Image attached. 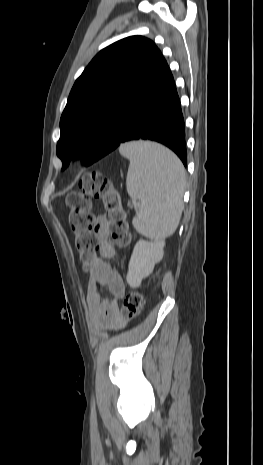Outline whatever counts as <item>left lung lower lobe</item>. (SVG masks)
I'll return each mask as SVG.
<instances>
[{
	"label": "left lung lower lobe",
	"instance_id": "left-lung-lower-lobe-1",
	"mask_svg": "<svg viewBox=\"0 0 263 465\" xmlns=\"http://www.w3.org/2000/svg\"><path fill=\"white\" fill-rule=\"evenodd\" d=\"M152 140L173 150L187 165L185 124L173 76L161 55L140 82L136 97L121 107L108 140L90 165L122 143ZM73 156L63 161L65 169Z\"/></svg>",
	"mask_w": 263,
	"mask_h": 465
}]
</instances>
